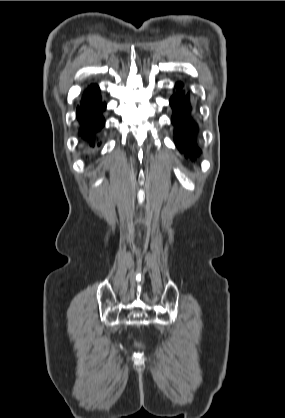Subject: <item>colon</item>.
Here are the masks:
<instances>
[{
  "label": "colon",
  "instance_id": "1",
  "mask_svg": "<svg viewBox=\"0 0 285 418\" xmlns=\"http://www.w3.org/2000/svg\"><path fill=\"white\" fill-rule=\"evenodd\" d=\"M133 342H134V344H135V345H137V346H141V342H140V341L133 340Z\"/></svg>",
  "mask_w": 285,
  "mask_h": 418
}]
</instances>
